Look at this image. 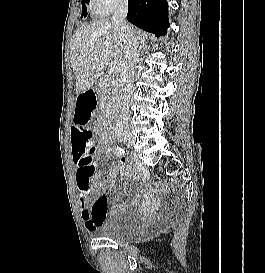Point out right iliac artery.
I'll return each instance as SVG.
<instances>
[{
	"label": "right iliac artery",
	"instance_id": "82829eb1",
	"mask_svg": "<svg viewBox=\"0 0 265 273\" xmlns=\"http://www.w3.org/2000/svg\"><path fill=\"white\" fill-rule=\"evenodd\" d=\"M113 152L117 156H122L125 153L124 149L119 147L118 145L113 147Z\"/></svg>",
	"mask_w": 265,
	"mask_h": 273
}]
</instances>
